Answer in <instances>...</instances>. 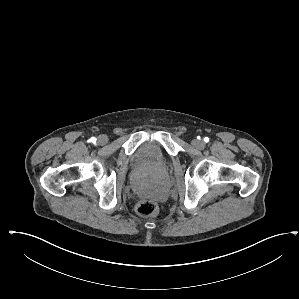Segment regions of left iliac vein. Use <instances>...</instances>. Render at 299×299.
Here are the masks:
<instances>
[{
  "mask_svg": "<svg viewBox=\"0 0 299 299\" xmlns=\"http://www.w3.org/2000/svg\"><path fill=\"white\" fill-rule=\"evenodd\" d=\"M192 145L197 149H203L205 147V143L202 140L194 139L192 141Z\"/></svg>",
  "mask_w": 299,
  "mask_h": 299,
  "instance_id": "4c4485c4",
  "label": "left iliac vein"
}]
</instances>
